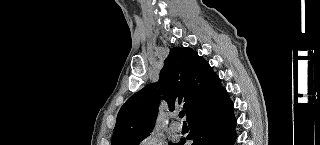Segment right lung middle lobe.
Segmentation results:
<instances>
[{"instance_id": "1", "label": "right lung middle lobe", "mask_w": 320, "mask_h": 145, "mask_svg": "<svg viewBox=\"0 0 320 145\" xmlns=\"http://www.w3.org/2000/svg\"><path fill=\"white\" fill-rule=\"evenodd\" d=\"M147 135H148V134H147ZM147 135H144V136L140 137L139 139H137L136 141H134L131 145H138L139 142H140L144 137H146ZM171 145H173V144H171Z\"/></svg>"}]
</instances>
